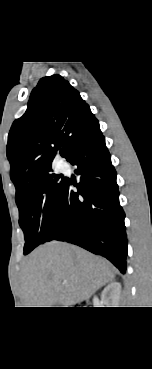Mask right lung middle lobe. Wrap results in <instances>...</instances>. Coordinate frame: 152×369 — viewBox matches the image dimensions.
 I'll return each instance as SVG.
<instances>
[{
	"label": "right lung middle lobe",
	"instance_id": "dd1d6c3e",
	"mask_svg": "<svg viewBox=\"0 0 152 369\" xmlns=\"http://www.w3.org/2000/svg\"><path fill=\"white\" fill-rule=\"evenodd\" d=\"M52 173L39 177L16 197L19 224L25 236L24 255L46 242L52 234L67 180Z\"/></svg>",
	"mask_w": 152,
	"mask_h": 369
}]
</instances>
